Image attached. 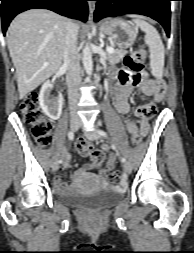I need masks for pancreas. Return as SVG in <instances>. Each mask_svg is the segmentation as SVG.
Segmentation results:
<instances>
[{
  "label": "pancreas",
  "mask_w": 194,
  "mask_h": 253,
  "mask_svg": "<svg viewBox=\"0 0 194 253\" xmlns=\"http://www.w3.org/2000/svg\"><path fill=\"white\" fill-rule=\"evenodd\" d=\"M125 55L126 51L116 49L114 53H107V60L110 64L119 63Z\"/></svg>",
  "instance_id": "pancreas-1"
}]
</instances>
